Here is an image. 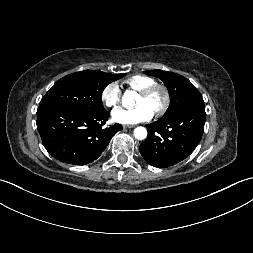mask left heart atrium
Returning a JSON list of instances; mask_svg holds the SVG:
<instances>
[{
	"label": "left heart atrium",
	"instance_id": "left-heart-atrium-1",
	"mask_svg": "<svg viewBox=\"0 0 253 253\" xmlns=\"http://www.w3.org/2000/svg\"><path fill=\"white\" fill-rule=\"evenodd\" d=\"M154 112L145 104H140L134 108H119L112 112V118L115 122L131 125L150 120Z\"/></svg>",
	"mask_w": 253,
	"mask_h": 253
}]
</instances>
